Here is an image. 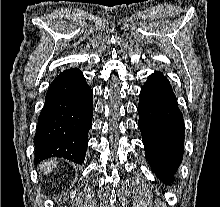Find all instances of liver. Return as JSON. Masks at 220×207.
Segmentation results:
<instances>
[{
  "mask_svg": "<svg viewBox=\"0 0 220 207\" xmlns=\"http://www.w3.org/2000/svg\"><path fill=\"white\" fill-rule=\"evenodd\" d=\"M56 165H57V161L54 159H50L48 161H43L40 164V169L44 171V174H48L53 170V168L56 167Z\"/></svg>",
  "mask_w": 220,
  "mask_h": 207,
  "instance_id": "liver-1",
  "label": "liver"
}]
</instances>
